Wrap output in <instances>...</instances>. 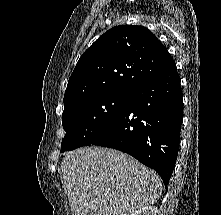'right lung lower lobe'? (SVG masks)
Returning <instances> with one entry per match:
<instances>
[{
	"instance_id": "obj_1",
	"label": "right lung lower lobe",
	"mask_w": 221,
	"mask_h": 215,
	"mask_svg": "<svg viewBox=\"0 0 221 215\" xmlns=\"http://www.w3.org/2000/svg\"><path fill=\"white\" fill-rule=\"evenodd\" d=\"M181 80L175 62L129 95L114 124L91 144L123 151L154 169L167 186L180 140Z\"/></svg>"
}]
</instances>
